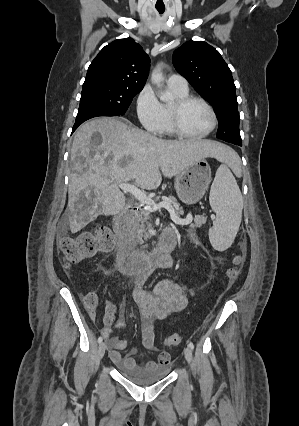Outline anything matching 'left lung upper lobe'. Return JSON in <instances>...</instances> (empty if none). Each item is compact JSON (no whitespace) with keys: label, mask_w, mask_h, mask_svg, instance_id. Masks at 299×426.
Returning a JSON list of instances; mask_svg holds the SVG:
<instances>
[{"label":"left lung upper lobe","mask_w":299,"mask_h":426,"mask_svg":"<svg viewBox=\"0 0 299 426\" xmlns=\"http://www.w3.org/2000/svg\"><path fill=\"white\" fill-rule=\"evenodd\" d=\"M173 64L191 86L215 109L217 137L242 146L235 84L220 53L204 41H188L175 50Z\"/></svg>","instance_id":"5c2ea615"}]
</instances>
